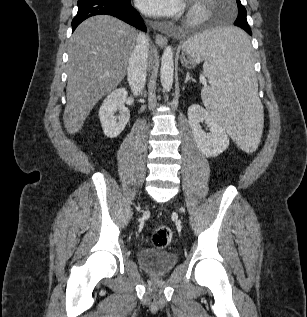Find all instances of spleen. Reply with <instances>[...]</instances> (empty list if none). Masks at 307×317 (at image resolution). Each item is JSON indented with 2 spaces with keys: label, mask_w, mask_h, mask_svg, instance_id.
I'll return each instance as SVG.
<instances>
[{
  "label": "spleen",
  "mask_w": 307,
  "mask_h": 317,
  "mask_svg": "<svg viewBox=\"0 0 307 317\" xmlns=\"http://www.w3.org/2000/svg\"><path fill=\"white\" fill-rule=\"evenodd\" d=\"M183 49L194 61L204 60L209 82L201 91L204 106L229 132L235 146L244 150V155H253V148H262L256 139L262 129V105L246 29L212 26L186 41Z\"/></svg>",
  "instance_id": "spleen-1"
}]
</instances>
